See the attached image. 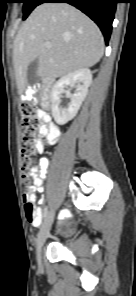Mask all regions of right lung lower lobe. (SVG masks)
<instances>
[{"instance_id":"obj_1","label":"right lung lower lobe","mask_w":136,"mask_h":296,"mask_svg":"<svg viewBox=\"0 0 136 296\" xmlns=\"http://www.w3.org/2000/svg\"><path fill=\"white\" fill-rule=\"evenodd\" d=\"M118 0H43L42 3H69L89 16L102 31L105 42L111 35Z\"/></svg>"}]
</instances>
